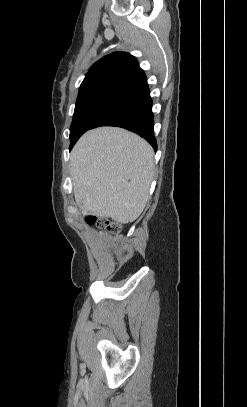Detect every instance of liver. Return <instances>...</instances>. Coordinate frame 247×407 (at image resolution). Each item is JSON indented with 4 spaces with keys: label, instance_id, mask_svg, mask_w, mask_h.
Masks as SVG:
<instances>
[{
    "label": "liver",
    "instance_id": "obj_1",
    "mask_svg": "<svg viewBox=\"0 0 247 407\" xmlns=\"http://www.w3.org/2000/svg\"><path fill=\"white\" fill-rule=\"evenodd\" d=\"M154 152L138 135L116 127L86 132L74 146L70 175L84 214L126 224L143 212L153 180Z\"/></svg>",
    "mask_w": 247,
    "mask_h": 407
}]
</instances>
